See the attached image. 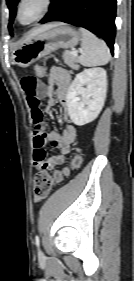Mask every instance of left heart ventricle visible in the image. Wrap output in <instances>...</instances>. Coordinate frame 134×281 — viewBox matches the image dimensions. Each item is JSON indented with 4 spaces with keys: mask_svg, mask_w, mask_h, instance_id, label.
<instances>
[{
    "mask_svg": "<svg viewBox=\"0 0 134 281\" xmlns=\"http://www.w3.org/2000/svg\"><path fill=\"white\" fill-rule=\"evenodd\" d=\"M42 7L41 0H27L20 10V19L22 22H29L39 12Z\"/></svg>",
    "mask_w": 134,
    "mask_h": 281,
    "instance_id": "b2bd125f",
    "label": "left heart ventricle"
}]
</instances>
